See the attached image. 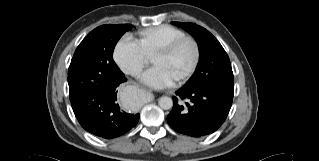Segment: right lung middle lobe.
Masks as SVG:
<instances>
[{"instance_id": "1", "label": "right lung middle lobe", "mask_w": 319, "mask_h": 161, "mask_svg": "<svg viewBox=\"0 0 319 161\" xmlns=\"http://www.w3.org/2000/svg\"><path fill=\"white\" fill-rule=\"evenodd\" d=\"M132 27L128 24L102 25L83 39L68 69L70 101L121 73L113 60V51L121 36Z\"/></svg>"}]
</instances>
